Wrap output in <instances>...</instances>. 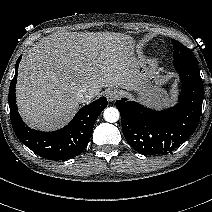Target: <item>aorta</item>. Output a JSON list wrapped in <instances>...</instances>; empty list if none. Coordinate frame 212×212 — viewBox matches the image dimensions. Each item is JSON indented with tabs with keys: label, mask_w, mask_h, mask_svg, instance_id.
I'll return each mask as SVG.
<instances>
[{
	"label": "aorta",
	"mask_w": 212,
	"mask_h": 212,
	"mask_svg": "<svg viewBox=\"0 0 212 212\" xmlns=\"http://www.w3.org/2000/svg\"><path fill=\"white\" fill-rule=\"evenodd\" d=\"M103 117H104L105 121H107L109 123H114L119 120L120 113H119L118 109L115 107H107L104 110Z\"/></svg>",
	"instance_id": "aorta-1"
}]
</instances>
